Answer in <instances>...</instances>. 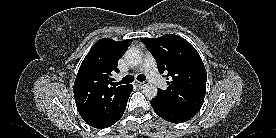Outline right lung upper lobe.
Instances as JSON below:
<instances>
[{"label": "right lung upper lobe", "mask_w": 276, "mask_h": 138, "mask_svg": "<svg viewBox=\"0 0 276 138\" xmlns=\"http://www.w3.org/2000/svg\"><path fill=\"white\" fill-rule=\"evenodd\" d=\"M131 42L100 39L79 68L73 87L76 106L83 120L95 128L112 126L125 111L133 86H118L112 75L119 72L118 60Z\"/></svg>", "instance_id": "cb5924a9"}]
</instances>
